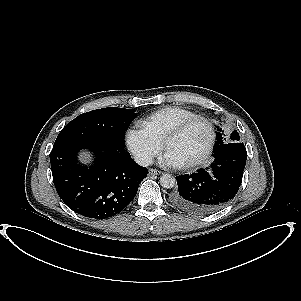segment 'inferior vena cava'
Returning a JSON list of instances; mask_svg holds the SVG:
<instances>
[{
  "label": "inferior vena cava",
  "mask_w": 301,
  "mask_h": 301,
  "mask_svg": "<svg viewBox=\"0 0 301 301\" xmlns=\"http://www.w3.org/2000/svg\"><path fill=\"white\" fill-rule=\"evenodd\" d=\"M134 161L140 165V166H143V167H147L149 165L152 164V157L149 156V155H145V154H136L134 156Z\"/></svg>",
  "instance_id": "obj_1"
}]
</instances>
